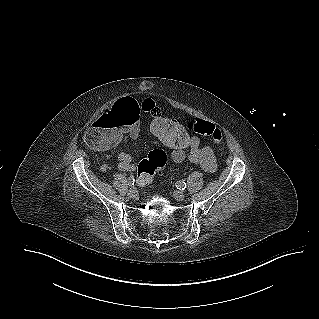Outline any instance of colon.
<instances>
[{
	"label": "colon",
	"instance_id": "5ec220e1",
	"mask_svg": "<svg viewBox=\"0 0 319 319\" xmlns=\"http://www.w3.org/2000/svg\"><path fill=\"white\" fill-rule=\"evenodd\" d=\"M149 132L164 145L175 148L179 152L195 150L200 144V135L210 137L219 149L223 147V129L204 119L187 117L181 126L168 114L156 113L149 120ZM196 132L200 135H191V133ZM167 162L168 155L164 150H152L138 165L137 184L142 187L147 186L151 182L152 176L164 169Z\"/></svg>",
	"mask_w": 319,
	"mask_h": 319
}]
</instances>
